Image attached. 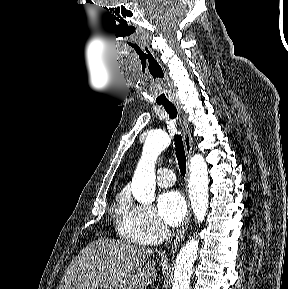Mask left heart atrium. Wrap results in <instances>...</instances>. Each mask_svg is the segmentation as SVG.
I'll return each mask as SVG.
<instances>
[{
	"label": "left heart atrium",
	"instance_id": "left-heart-atrium-1",
	"mask_svg": "<svg viewBox=\"0 0 288 289\" xmlns=\"http://www.w3.org/2000/svg\"><path fill=\"white\" fill-rule=\"evenodd\" d=\"M159 218L170 226L181 223L186 214V202L177 190H168L159 195L157 200Z\"/></svg>",
	"mask_w": 288,
	"mask_h": 289
}]
</instances>
